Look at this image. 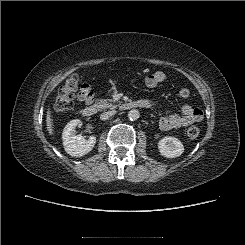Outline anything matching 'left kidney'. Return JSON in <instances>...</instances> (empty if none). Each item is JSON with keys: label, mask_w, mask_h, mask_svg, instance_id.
<instances>
[{"label": "left kidney", "mask_w": 245, "mask_h": 245, "mask_svg": "<svg viewBox=\"0 0 245 245\" xmlns=\"http://www.w3.org/2000/svg\"><path fill=\"white\" fill-rule=\"evenodd\" d=\"M158 149L162 156L166 158H176L184 152V146L175 137L167 136L158 143Z\"/></svg>", "instance_id": "left-kidney-1"}]
</instances>
